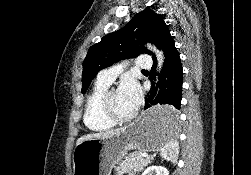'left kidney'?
Instances as JSON below:
<instances>
[{
	"instance_id": "5707ae66",
	"label": "left kidney",
	"mask_w": 251,
	"mask_h": 175,
	"mask_svg": "<svg viewBox=\"0 0 251 175\" xmlns=\"http://www.w3.org/2000/svg\"><path fill=\"white\" fill-rule=\"evenodd\" d=\"M142 175H169V171L162 165H150L143 171Z\"/></svg>"
}]
</instances>
